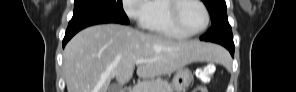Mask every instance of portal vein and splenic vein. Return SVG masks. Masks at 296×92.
<instances>
[{"mask_svg":"<svg viewBox=\"0 0 296 92\" xmlns=\"http://www.w3.org/2000/svg\"><path fill=\"white\" fill-rule=\"evenodd\" d=\"M148 60L147 59H138L135 61V64L138 65V64H143V63H147Z\"/></svg>","mask_w":296,"mask_h":92,"instance_id":"portal-vein-and-splenic-vein-1","label":"portal vein and splenic vein"}]
</instances>
